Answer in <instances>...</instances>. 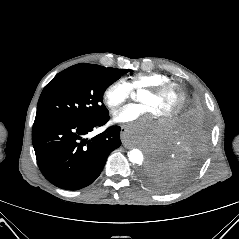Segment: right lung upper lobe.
Wrapping results in <instances>:
<instances>
[{
	"instance_id": "1",
	"label": "right lung upper lobe",
	"mask_w": 239,
	"mask_h": 239,
	"mask_svg": "<svg viewBox=\"0 0 239 239\" xmlns=\"http://www.w3.org/2000/svg\"><path fill=\"white\" fill-rule=\"evenodd\" d=\"M80 67L89 68V69H104L105 67L94 65V64H78Z\"/></svg>"
}]
</instances>
